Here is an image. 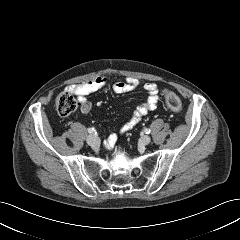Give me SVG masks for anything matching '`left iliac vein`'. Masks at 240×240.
I'll return each mask as SVG.
<instances>
[{"label": "left iliac vein", "mask_w": 240, "mask_h": 240, "mask_svg": "<svg viewBox=\"0 0 240 240\" xmlns=\"http://www.w3.org/2000/svg\"><path fill=\"white\" fill-rule=\"evenodd\" d=\"M139 142L141 145H148L151 142V138L145 135L140 138Z\"/></svg>", "instance_id": "left-iliac-vein-1"}]
</instances>
